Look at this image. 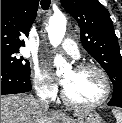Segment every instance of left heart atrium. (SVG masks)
<instances>
[{
  "label": "left heart atrium",
  "mask_w": 122,
  "mask_h": 123,
  "mask_svg": "<svg viewBox=\"0 0 122 123\" xmlns=\"http://www.w3.org/2000/svg\"><path fill=\"white\" fill-rule=\"evenodd\" d=\"M61 83L64 85V84H65V80L63 79V80L61 81Z\"/></svg>",
  "instance_id": "39dd6f15"
}]
</instances>
